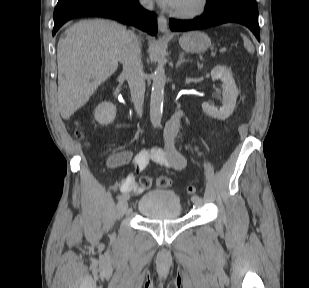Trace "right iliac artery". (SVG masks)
<instances>
[{
    "mask_svg": "<svg viewBox=\"0 0 309 288\" xmlns=\"http://www.w3.org/2000/svg\"><path fill=\"white\" fill-rule=\"evenodd\" d=\"M118 196V199H121V200H126V199H130L132 197V194L130 192H120V196Z\"/></svg>",
    "mask_w": 309,
    "mask_h": 288,
    "instance_id": "82829eb1",
    "label": "right iliac artery"
}]
</instances>
